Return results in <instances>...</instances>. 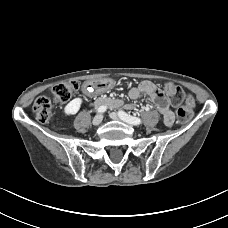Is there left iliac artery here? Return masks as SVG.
Masks as SVG:
<instances>
[{"instance_id":"1","label":"left iliac artery","mask_w":228,"mask_h":228,"mask_svg":"<svg viewBox=\"0 0 228 228\" xmlns=\"http://www.w3.org/2000/svg\"><path fill=\"white\" fill-rule=\"evenodd\" d=\"M118 115H119V117L122 119V120H124V121H126V122H128V123H130V124H133V125H139V124H141V119L140 118H138V117H135V116H131V115H128L126 112H124V111H119L118 112Z\"/></svg>"}]
</instances>
